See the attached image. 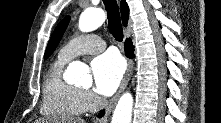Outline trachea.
I'll use <instances>...</instances> for the list:
<instances>
[{"label":"trachea","mask_w":221,"mask_h":123,"mask_svg":"<svg viewBox=\"0 0 221 123\" xmlns=\"http://www.w3.org/2000/svg\"><path fill=\"white\" fill-rule=\"evenodd\" d=\"M108 16V27L112 36L117 41L123 40V29L120 13L116 0H103Z\"/></svg>","instance_id":"3493384b"}]
</instances>
